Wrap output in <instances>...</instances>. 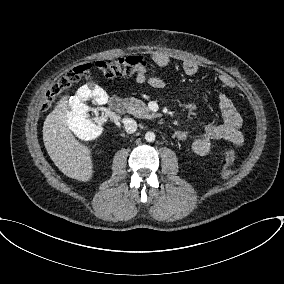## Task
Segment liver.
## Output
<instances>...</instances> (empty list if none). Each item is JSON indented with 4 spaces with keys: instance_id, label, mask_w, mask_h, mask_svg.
I'll list each match as a JSON object with an SVG mask.
<instances>
[{
    "instance_id": "obj_1",
    "label": "liver",
    "mask_w": 284,
    "mask_h": 284,
    "mask_svg": "<svg viewBox=\"0 0 284 284\" xmlns=\"http://www.w3.org/2000/svg\"><path fill=\"white\" fill-rule=\"evenodd\" d=\"M68 96H63L43 125V141L48 155L66 176L87 182L93 175L91 150L80 143L68 126Z\"/></svg>"
}]
</instances>
